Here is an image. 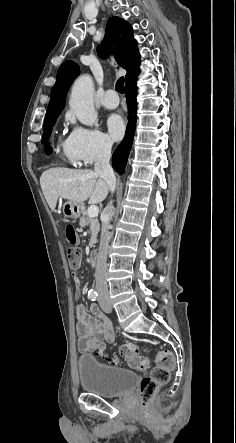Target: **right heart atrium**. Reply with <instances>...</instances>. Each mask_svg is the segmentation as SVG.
Returning <instances> with one entry per match:
<instances>
[{
  "instance_id": "obj_1",
  "label": "right heart atrium",
  "mask_w": 236,
  "mask_h": 443,
  "mask_svg": "<svg viewBox=\"0 0 236 443\" xmlns=\"http://www.w3.org/2000/svg\"><path fill=\"white\" fill-rule=\"evenodd\" d=\"M67 118L73 123L72 130L66 139L67 157L79 165H92L108 151V140L93 129L75 124L70 115Z\"/></svg>"
}]
</instances>
